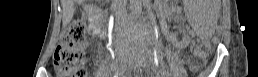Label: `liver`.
<instances>
[{
  "label": "liver",
  "instance_id": "obj_1",
  "mask_svg": "<svg viewBox=\"0 0 258 77\" xmlns=\"http://www.w3.org/2000/svg\"><path fill=\"white\" fill-rule=\"evenodd\" d=\"M84 0H61V5L63 9V25L66 26L70 23L74 15V3L81 4Z\"/></svg>",
  "mask_w": 258,
  "mask_h": 77
}]
</instances>
